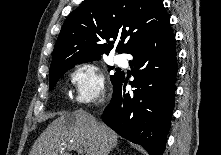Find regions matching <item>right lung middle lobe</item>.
Here are the masks:
<instances>
[{
    "mask_svg": "<svg viewBox=\"0 0 221 155\" xmlns=\"http://www.w3.org/2000/svg\"><path fill=\"white\" fill-rule=\"evenodd\" d=\"M82 63V62H81ZM76 64L74 65H67V66H63L57 69H54L52 71H50V84H49V90H52L54 88V86L56 85L57 81L59 80V78L62 77V75L69 70L70 68L74 67ZM110 69H112V67L109 66ZM120 72H116L114 75L111 76V81L113 82L118 76H119Z\"/></svg>",
    "mask_w": 221,
    "mask_h": 155,
    "instance_id": "dd1d6c3e",
    "label": "right lung middle lobe"
}]
</instances>
